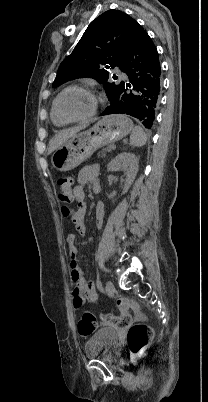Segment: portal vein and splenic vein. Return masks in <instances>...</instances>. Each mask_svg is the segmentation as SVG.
<instances>
[{
  "instance_id": "portal-vein-and-splenic-vein-1",
  "label": "portal vein and splenic vein",
  "mask_w": 208,
  "mask_h": 402,
  "mask_svg": "<svg viewBox=\"0 0 208 402\" xmlns=\"http://www.w3.org/2000/svg\"><path fill=\"white\" fill-rule=\"evenodd\" d=\"M116 146H112V150H115Z\"/></svg>"
}]
</instances>
